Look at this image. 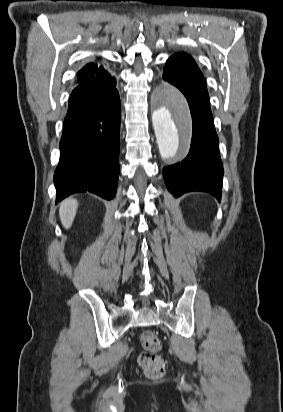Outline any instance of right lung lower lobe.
<instances>
[{"mask_svg":"<svg viewBox=\"0 0 283 412\" xmlns=\"http://www.w3.org/2000/svg\"><path fill=\"white\" fill-rule=\"evenodd\" d=\"M112 79L91 78L76 86L69 99L55 170L56 203L80 192L112 199L119 176V93Z\"/></svg>","mask_w":283,"mask_h":412,"instance_id":"right-lung-lower-lobe-1","label":"right lung lower lobe"}]
</instances>
